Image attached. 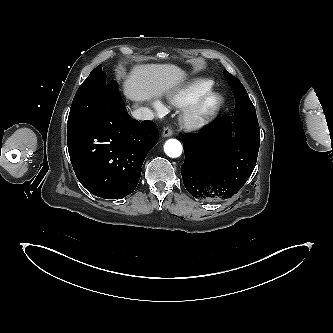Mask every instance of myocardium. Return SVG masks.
I'll list each match as a JSON object with an SVG mask.
<instances>
[{"label": "myocardium", "instance_id": "1", "mask_svg": "<svg viewBox=\"0 0 333 333\" xmlns=\"http://www.w3.org/2000/svg\"><path fill=\"white\" fill-rule=\"evenodd\" d=\"M224 104L222 93L213 90L204 93L186 108L182 118L184 126L193 131L206 128L216 119Z\"/></svg>", "mask_w": 333, "mask_h": 333}]
</instances>
